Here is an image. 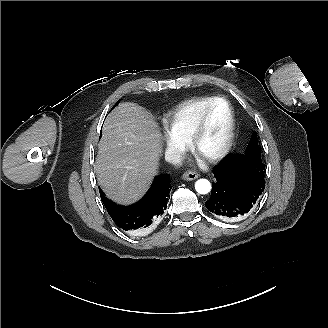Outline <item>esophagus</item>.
Masks as SVG:
<instances>
[{"label":"esophagus","instance_id":"esophagus-1","mask_svg":"<svg viewBox=\"0 0 328 328\" xmlns=\"http://www.w3.org/2000/svg\"><path fill=\"white\" fill-rule=\"evenodd\" d=\"M198 177H199V174L196 172H193V171H187L181 176L182 180H184V181H191Z\"/></svg>","mask_w":328,"mask_h":328}]
</instances>
